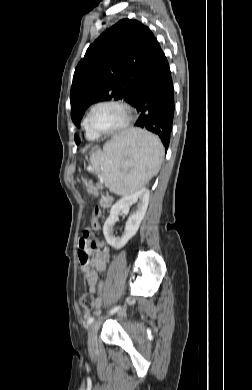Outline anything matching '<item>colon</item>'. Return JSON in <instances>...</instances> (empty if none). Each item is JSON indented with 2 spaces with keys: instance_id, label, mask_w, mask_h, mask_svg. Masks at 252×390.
<instances>
[{
  "instance_id": "1",
  "label": "colon",
  "mask_w": 252,
  "mask_h": 390,
  "mask_svg": "<svg viewBox=\"0 0 252 390\" xmlns=\"http://www.w3.org/2000/svg\"><path fill=\"white\" fill-rule=\"evenodd\" d=\"M100 218H101V211H100L99 208H95V210L93 212V217H92V227H93V229H95V230L99 229V227H100V224H99ZM87 260H88V255L84 254L81 257V275H82V277L84 279H88L89 278V272L84 267V264L87 262ZM79 302H80V306L84 310H91V309L94 308V297L92 296V294H90L88 292H85V293L81 294Z\"/></svg>"
}]
</instances>
